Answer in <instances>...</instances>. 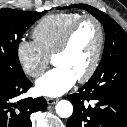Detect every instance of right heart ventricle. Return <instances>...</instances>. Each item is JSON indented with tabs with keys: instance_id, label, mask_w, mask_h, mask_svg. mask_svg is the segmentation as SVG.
Instances as JSON below:
<instances>
[{
	"instance_id": "right-heart-ventricle-1",
	"label": "right heart ventricle",
	"mask_w": 127,
	"mask_h": 127,
	"mask_svg": "<svg viewBox=\"0 0 127 127\" xmlns=\"http://www.w3.org/2000/svg\"><path fill=\"white\" fill-rule=\"evenodd\" d=\"M79 13H58L42 18L34 27V41L46 57H51L69 27L79 18Z\"/></svg>"
}]
</instances>
